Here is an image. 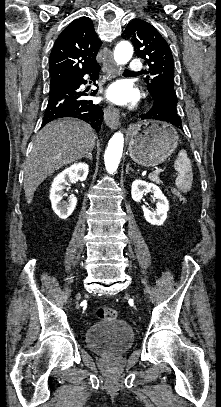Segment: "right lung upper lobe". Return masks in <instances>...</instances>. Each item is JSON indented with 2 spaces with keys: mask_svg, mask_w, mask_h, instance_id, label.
Returning <instances> with one entry per match:
<instances>
[{
  "mask_svg": "<svg viewBox=\"0 0 221 407\" xmlns=\"http://www.w3.org/2000/svg\"><path fill=\"white\" fill-rule=\"evenodd\" d=\"M100 45L90 18L72 21L61 32L51 51L50 85H59L96 68Z\"/></svg>",
  "mask_w": 221,
  "mask_h": 407,
  "instance_id": "obj_1",
  "label": "right lung upper lobe"
}]
</instances>
